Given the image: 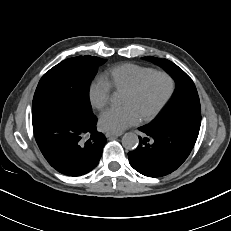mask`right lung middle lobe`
Masks as SVG:
<instances>
[{
    "instance_id": "right-lung-middle-lobe-1",
    "label": "right lung middle lobe",
    "mask_w": 231,
    "mask_h": 231,
    "mask_svg": "<svg viewBox=\"0 0 231 231\" xmlns=\"http://www.w3.org/2000/svg\"><path fill=\"white\" fill-rule=\"evenodd\" d=\"M105 61L90 55L77 56L46 72L34 94L32 120L46 115L92 118L88 86L97 67Z\"/></svg>"
}]
</instances>
